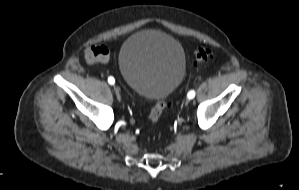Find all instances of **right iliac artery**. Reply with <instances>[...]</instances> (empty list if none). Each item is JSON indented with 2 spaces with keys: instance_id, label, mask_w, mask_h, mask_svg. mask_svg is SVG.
<instances>
[{
  "instance_id": "1",
  "label": "right iliac artery",
  "mask_w": 299,
  "mask_h": 190,
  "mask_svg": "<svg viewBox=\"0 0 299 190\" xmlns=\"http://www.w3.org/2000/svg\"><path fill=\"white\" fill-rule=\"evenodd\" d=\"M108 82H109V84L113 85L115 83V79L112 76H110L108 78Z\"/></svg>"
}]
</instances>
